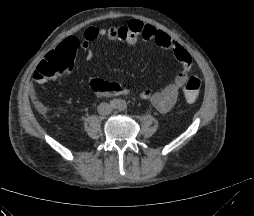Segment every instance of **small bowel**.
Segmentation results:
<instances>
[{
  "instance_id": "c3829d8e",
  "label": "small bowel",
  "mask_w": 254,
  "mask_h": 216,
  "mask_svg": "<svg viewBox=\"0 0 254 216\" xmlns=\"http://www.w3.org/2000/svg\"><path fill=\"white\" fill-rule=\"evenodd\" d=\"M98 38L120 40L131 46L135 45L141 38L147 41H153L160 47L172 53L181 65L180 70L177 72L173 80L159 91H141L139 94L141 97L149 100L160 112H168L173 108L191 70V57L180 44L163 31H160L151 25L143 24L138 20H132L124 26H110L107 28L90 26L86 28L84 32L85 41L80 43L77 38L70 36L65 38L58 45L56 50L65 48L70 52H76L78 49H82L87 52V57H90L91 53L88 50V42L95 41ZM35 81L37 83H43L45 80L38 78L35 74ZM90 86L96 94L103 96L126 95L132 92V89L128 86L100 79L91 80Z\"/></svg>"
}]
</instances>
